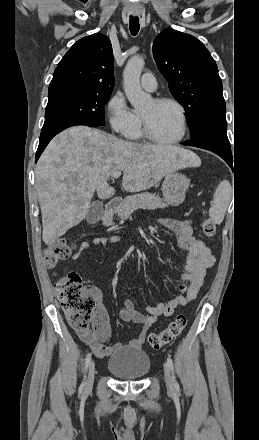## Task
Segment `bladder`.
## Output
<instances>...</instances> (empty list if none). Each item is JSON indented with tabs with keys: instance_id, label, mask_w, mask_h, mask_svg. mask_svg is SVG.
<instances>
[{
	"instance_id": "31cf9c89",
	"label": "bladder",
	"mask_w": 259,
	"mask_h": 440,
	"mask_svg": "<svg viewBox=\"0 0 259 440\" xmlns=\"http://www.w3.org/2000/svg\"><path fill=\"white\" fill-rule=\"evenodd\" d=\"M150 358L141 348L118 347L107 360V370L122 380H139L150 370Z\"/></svg>"
}]
</instances>
